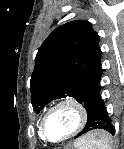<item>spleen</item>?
I'll return each mask as SVG.
<instances>
[{
    "mask_svg": "<svg viewBox=\"0 0 124 149\" xmlns=\"http://www.w3.org/2000/svg\"><path fill=\"white\" fill-rule=\"evenodd\" d=\"M82 139L78 141V143H82L81 149H112V147L108 145V139L104 133H101L97 137H91L88 140L81 142Z\"/></svg>",
    "mask_w": 124,
    "mask_h": 149,
    "instance_id": "spleen-1",
    "label": "spleen"
}]
</instances>
